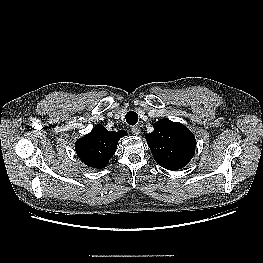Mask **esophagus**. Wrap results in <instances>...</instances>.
Listing matches in <instances>:
<instances>
[{
	"instance_id": "1",
	"label": "esophagus",
	"mask_w": 263,
	"mask_h": 263,
	"mask_svg": "<svg viewBox=\"0 0 263 263\" xmlns=\"http://www.w3.org/2000/svg\"><path fill=\"white\" fill-rule=\"evenodd\" d=\"M131 132L133 135H139L140 129L137 125L131 127Z\"/></svg>"
}]
</instances>
